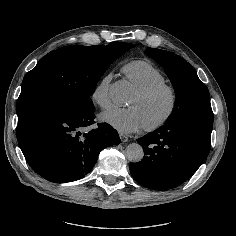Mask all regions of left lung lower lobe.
Segmentation results:
<instances>
[{
    "mask_svg": "<svg viewBox=\"0 0 236 236\" xmlns=\"http://www.w3.org/2000/svg\"><path fill=\"white\" fill-rule=\"evenodd\" d=\"M213 123L189 120L164 125L137 141L144 158L130 165L133 178L142 186L172 189L189 179L207 158Z\"/></svg>",
    "mask_w": 236,
    "mask_h": 236,
    "instance_id": "left-lung-lower-lobe-1",
    "label": "left lung lower lobe"
}]
</instances>
